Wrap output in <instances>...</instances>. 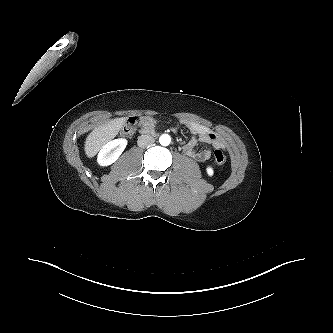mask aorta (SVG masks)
Listing matches in <instances>:
<instances>
[{
  "mask_svg": "<svg viewBox=\"0 0 333 333\" xmlns=\"http://www.w3.org/2000/svg\"><path fill=\"white\" fill-rule=\"evenodd\" d=\"M159 142L163 146H168L171 142V137L168 134H162L159 137Z\"/></svg>",
  "mask_w": 333,
  "mask_h": 333,
  "instance_id": "1",
  "label": "aorta"
}]
</instances>
